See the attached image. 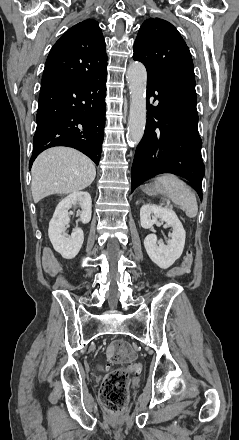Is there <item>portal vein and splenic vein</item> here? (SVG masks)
<instances>
[{
    "mask_svg": "<svg viewBox=\"0 0 239 440\" xmlns=\"http://www.w3.org/2000/svg\"><path fill=\"white\" fill-rule=\"evenodd\" d=\"M169 201H170L169 199H165V202H166V204H165L166 206L165 207L166 208L173 206V203H170Z\"/></svg>",
    "mask_w": 239,
    "mask_h": 440,
    "instance_id": "1",
    "label": "portal vein and splenic vein"
}]
</instances>
